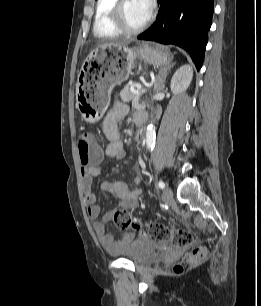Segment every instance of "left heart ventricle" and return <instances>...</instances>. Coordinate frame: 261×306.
I'll return each mask as SVG.
<instances>
[{"label": "left heart ventricle", "instance_id": "b2bd125f", "mask_svg": "<svg viewBox=\"0 0 261 306\" xmlns=\"http://www.w3.org/2000/svg\"><path fill=\"white\" fill-rule=\"evenodd\" d=\"M126 21L132 27L141 25L147 18L141 6L136 0H127L124 4Z\"/></svg>", "mask_w": 261, "mask_h": 306}]
</instances>
